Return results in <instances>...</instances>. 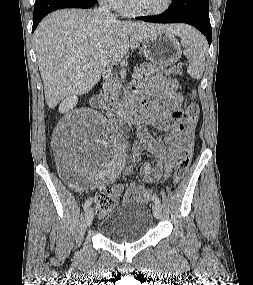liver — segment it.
I'll return each mask as SVG.
<instances>
[{
    "label": "liver",
    "mask_w": 253,
    "mask_h": 285,
    "mask_svg": "<svg viewBox=\"0 0 253 285\" xmlns=\"http://www.w3.org/2000/svg\"><path fill=\"white\" fill-rule=\"evenodd\" d=\"M187 28L110 21L96 9L52 12L34 33L47 105L53 109L64 98L88 93L107 67L119 63L146 36L161 32L180 36Z\"/></svg>",
    "instance_id": "obj_1"
}]
</instances>
